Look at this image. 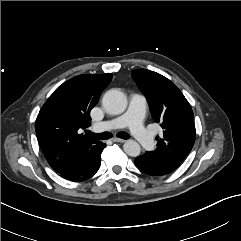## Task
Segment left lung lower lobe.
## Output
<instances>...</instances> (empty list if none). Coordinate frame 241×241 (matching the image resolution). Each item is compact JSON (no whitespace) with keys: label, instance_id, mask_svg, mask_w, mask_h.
I'll return each instance as SVG.
<instances>
[{"label":"left lung lower lobe","instance_id":"0a47b994","mask_svg":"<svg viewBox=\"0 0 241 241\" xmlns=\"http://www.w3.org/2000/svg\"><path fill=\"white\" fill-rule=\"evenodd\" d=\"M134 162L139 170L152 176H162L165 174H169L176 169L175 167L169 165L150 161L144 154L136 157L134 159Z\"/></svg>","mask_w":241,"mask_h":241}]
</instances>
